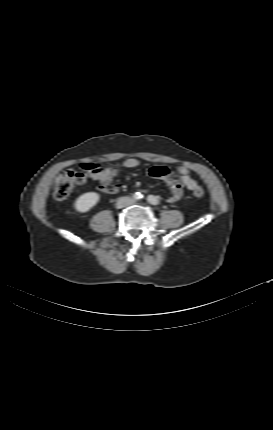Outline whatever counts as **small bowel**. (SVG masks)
Instances as JSON below:
<instances>
[{"mask_svg":"<svg viewBox=\"0 0 273 430\" xmlns=\"http://www.w3.org/2000/svg\"><path fill=\"white\" fill-rule=\"evenodd\" d=\"M140 166V161L136 158H128L118 165L104 168L101 162H82L80 163V172L87 173L89 179L98 183V190L103 194H116L124 188L123 184L111 186V181L118 174L121 168H137ZM181 179L172 177V171L165 166L153 167L149 170V175L163 179L171 190V194L167 201L175 203L183 196L184 189L193 191L198 187L195 179L189 175V170L185 166H180L177 169Z\"/></svg>","mask_w":273,"mask_h":430,"instance_id":"1","label":"small bowel"}]
</instances>
